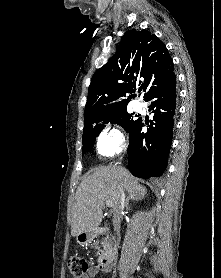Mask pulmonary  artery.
<instances>
[{"label":"pulmonary artery","instance_id":"1","mask_svg":"<svg viewBox=\"0 0 221 278\" xmlns=\"http://www.w3.org/2000/svg\"><path fill=\"white\" fill-rule=\"evenodd\" d=\"M134 108L136 111H141L143 109V106L141 103H135Z\"/></svg>","mask_w":221,"mask_h":278}]
</instances>
